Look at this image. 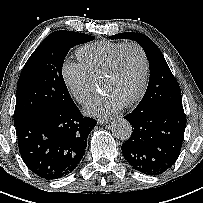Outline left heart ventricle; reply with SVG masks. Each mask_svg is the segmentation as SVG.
Returning <instances> with one entry per match:
<instances>
[{
    "instance_id": "obj_1",
    "label": "left heart ventricle",
    "mask_w": 203,
    "mask_h": 203,
    "mask_svg": "<svg viewBox=\"0 0 203 203\" xmlns=\"http://www.w3.org/2000/svg\"><path fill=\"white\" fill-rule=\"evenodd\" d=\"M143 76V60L135 48L126 49L115 71L100 85L103 93L109 94L122 103L137 92Z\"/></svg>"
}]
</instances>
